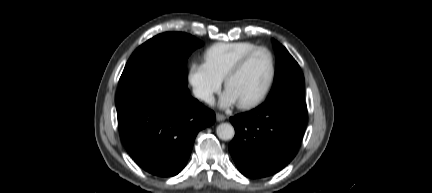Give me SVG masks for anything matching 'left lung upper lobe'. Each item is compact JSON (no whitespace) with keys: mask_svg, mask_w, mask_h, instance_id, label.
<instances>
[{"mask_svg":"<svg viewBox=\"0 0 432 193\" xmlns=\"http://www.w3.org/2000/svg\"><path fill=\"white\" fill-rule=\"evenodd\" d=\"M276 52V72L273 88L267 100L286 99L304 101V76L285 47L273 40Z\"/></svg>","mask_w":432,"mask_h":193,"instance_id":"1","label":"left lung upper lobe"}]
</instances>
